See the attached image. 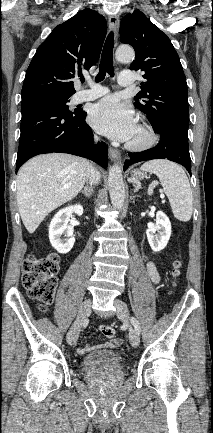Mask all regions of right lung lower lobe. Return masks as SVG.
<instances>
[{
	"mask_svg": "<svg viewBox=\"0 0 213 433\" xmlns=\"http://www.w3.org/2000/svg\"><path fill=\"white\" fill-rule=\"evenodd\" d=\"M22 121L16 172L28 159L43 153H69L108 166L107 145L93 144V133L85 122L86 113H68L55 104L23 98Z\"/></svg>",
	"mask_w": 213,
	"mask_h": 433,
	"instance_id": "98d812e1",
	"label": "right lung lower lobe"
}]
</instances>
